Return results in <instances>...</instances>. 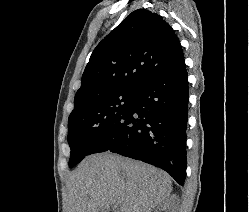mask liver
Listing matches in <instances>:
<instances>
[{
  "instance_id": "obj_1",
  "label": "liver",
  "mask_w": 249,
  "mask_h": 212,
  "mask_svg": "<svg viewBox=\"0 0 249 212\" xmlns=\"http://www.w3.org/2000/svg\"><path fill=\"white\" fill-rule=\"evenodd\" d=\"M66 186L67 212H151L172 192L167 172L111 152L86 156Z\"/></svg>"
}]
</instances>
